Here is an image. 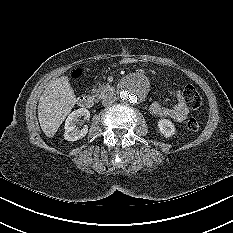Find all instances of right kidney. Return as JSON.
I'll use <instances>...</instances> for the list:
<instances>
[{"label": "right kidney", "mask_w": 233, "mask_h": 233, "mask_svg": "<svg viewBox=\"0 0 233 233\" xmlns=\"http://www.w3.org/2000/svg\"><path fill=\"white\" fill-rule=\"evenodd\" d=\"M81 117H84L85 120H89L90 112L85 108H80L73 111L68 116L64 126V139L73 142L86 136V134L88 133L87 125H85L82 129L79 128Z\"/></svg>", "instance_id": "obj_1"}]
</instances>
